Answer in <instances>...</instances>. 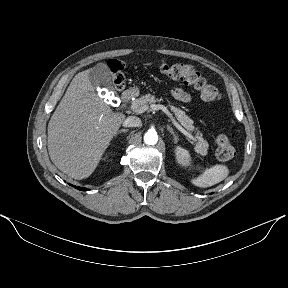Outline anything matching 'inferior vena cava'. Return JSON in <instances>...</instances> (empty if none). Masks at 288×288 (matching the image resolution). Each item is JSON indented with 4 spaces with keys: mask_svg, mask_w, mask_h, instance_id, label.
<instances>
[{
    "mask_svg": "<svg viewBox=\"0 0 288 288\" xmlns=\"http://www.w3.org/2000/svg\"><path fill=\"white\" fill-rule=\"evenodd\" d=\"M141 125V119L136 116H129L123 122L124 127H139Z\"/></svg>",
    "mask_w": 288,
    "mask_h": 288,
    "instance_id": "obj_1",
    "label": "inferior vena cava"
}]
</instances>
